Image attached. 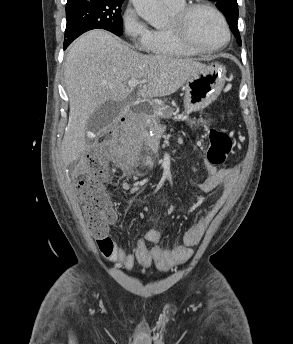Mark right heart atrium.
<instances>
[{
	"instance_id": "right-heart-atrium-1",
	"label": "right heart atrium",
	"mask_w": 293,
	"mask_h": 344,
	"mask_svg": "<svg viewBox=\"0 0 293 344\" xmlns=\"http://www.w3.org/2000/svg\"><path fill=\"white\" fill-rule=\"evenodd\" d=\"M121 23L123 32L132 46L136 50H146L152 35V30L139 17L138 13L133 7L128 6L124 10Z\"/></svg>"
}]
</instances>
